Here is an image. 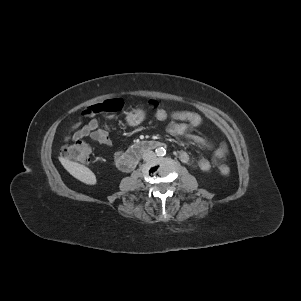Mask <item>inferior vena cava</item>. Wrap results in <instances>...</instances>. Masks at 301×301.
<instances>
[{
    "label": "inferior vena cava",
    "mask_w": 301,
    "mask_h": 301,
    "mask_svg": "<svg viewBox=\"0 0 301 301\" xmlns=\"http://www.w3.org/2000/svg\"><path fill=\"white\" fill-rule=\"evenodd\" d=\"M156 157L155 153L153 151L147 150L143 153V160L144 161H151Z\"/></svg>",
    "instance_id": "inferior-vena-cava-1"
}]
</instances>
